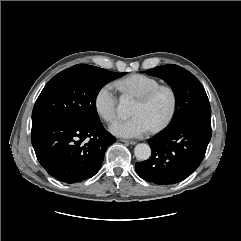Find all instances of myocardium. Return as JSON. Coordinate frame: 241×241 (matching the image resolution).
<instances>
[{"mask_svg":"<svg viewBox=\"0 0 241 241\" xmlns=\"http://www.w3.org/2000/svg\"><path fill=\"white\" fill-rule=\"evenodd\" d=\"M166 93L169 97V108L164 117L156 123L152 128V132H158L165 128L173 119L177 108V94L173 87L169 85H159L150 91L138 96L136 98L142 104H148L154 100L159 94Z\"/></svg>","mask_w":241,"mask_h":241,"instance_id":"1","label":"myocardium"}]
</instances>
